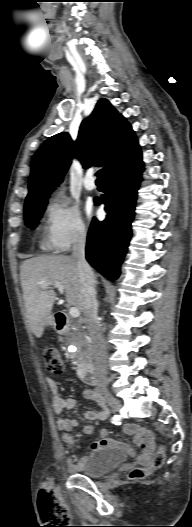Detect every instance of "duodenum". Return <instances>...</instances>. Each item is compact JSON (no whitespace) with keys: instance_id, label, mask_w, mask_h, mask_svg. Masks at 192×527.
I'll return each mask as SVG.
<instances>
[{"instance_id":"410a0bca","label":"duodenum","mask_w":192,"mask_h":527,"mask_svg":"<svg viewBox=\"0 0 192 527\" xmlns=\"http://www.w3.org/2000/svg\"><path fill=\"white\" fill-rule=\"evenodd\" d=\"M55 325L60 333H66L68 331L69 324L64 313L57 312L55 314ZM77 373L85 383L90 385H95L97 383L95 371L90 362L80 361L77 367Z\"/></svg>"}]
</instances>
